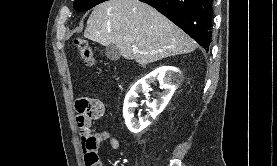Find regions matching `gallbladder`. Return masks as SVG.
Wrapping results in <instances>:
<instances>
[{"mask_svg": "<svg viewBox=\"0 0 277 166\" xmlns=\"http://www.w3.org/2000/svg\"><path fill=\"white\" fill-rule=\"evenodd\" d=\"M106 55L110 60L115 61L120 58V51L114 44H111L106 47Z\"/></svg>", "mask_w": 277, "mask_h": 166, "instance_id": "gallbladder-1", "label": "gallbladder"}]
</instances>
